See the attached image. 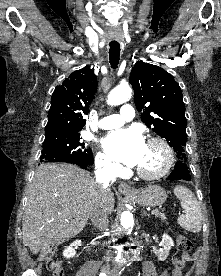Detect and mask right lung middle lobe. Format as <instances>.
<instances>
[{
	"label": "right lung middle lobe",
	"instance_id": "obj_1",
	"mask_svg": "<svg viewBox=\"0 0 221 276\" xmlns=\"http://www.w3.org/2000/svg\"><path fill=\"white\" fill-rule=\"evenodd\" d=\"M79 132L45 135L41 162H93V154L80 142Z\"/></svg>",
	"mask_w": 221,
	"mask_h": 276
}]
</instances>
